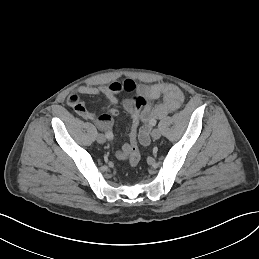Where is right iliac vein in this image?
<instances>
[{
  "instance_id": "1",
  "label": "right iliac vein",
  "mask_w": 259,
  "mask_h": 259,
  "mask_svg": "<svg viewBox=\"0 0 259 259\" xmlns=\"http://www.w3.org/2000/svg\"><path fill=\"white\" fill-rule=\"evenodd\" d=\"M97 141H98V143L103 144L106 142V137L103 134H99L97 136Z\"/></svg>"
}]
</instances>
